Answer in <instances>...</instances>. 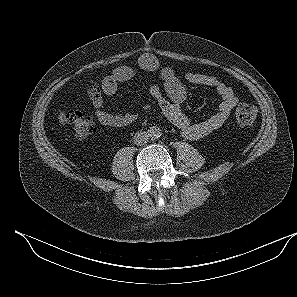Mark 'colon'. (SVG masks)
Masks as SVG:
<instances>
[{
  "label": "colon",
  "mask_w": 297,
  "mask_h": 297,
  "mask_svg": "<svg viewBox=\"0 0 297 297\" xmlns=\"http://www.w3.org/2000/svg\"><path fill=\"white\" fill-rule=\"evenodd\" d=\"M236 122L242 127L251 126L257 119L258 108L251 103H240L235 108ZM66 119L72 126V134L76 139H84L95 134L96 122L80 111L71 110L67 113Z\"/></svg>",
  "instance_id": "1"
}]
</instances>
